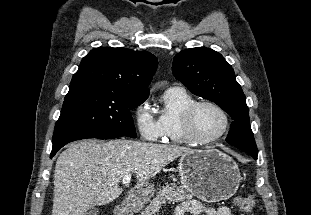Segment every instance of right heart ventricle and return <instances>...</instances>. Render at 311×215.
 <instances>
[{
    "label": "right heart ventricle",
    "instance_id": "right-heart-ventricle-1",
    "mask_svg": "<svg viewBox=\"0 0 311 215\" xmlns=\"http://www.w3.org/2000/svg\"><path fill=\"white\" fill-rule=\"evenodd\" d=\"M163 99L164 108L159 116L163 130V142L189 143L183 134L181 116L183 111L195 100L186 90L176 87L169 88L165 92Z\"/></svg>",
    "mask_w": 311,
    "mask_h": 215
}]
</instances>
